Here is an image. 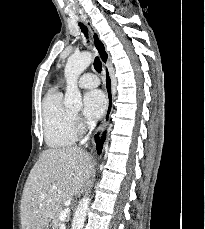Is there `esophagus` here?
I'll return each mask as SVG.
<instances>
[{
    "instance_id": "obj_1",
    "label": "esophagus",
    "mask_w": 205,
    "mask_h": 229,
    "mask_svg": "<svg viewBox=\"0 0 205 229\" xmlns=\"http://www.w3.org/2000/svg\"><path fill=\"white\" fill-rule=\"evenodd\" d=\"M86 24L89 27V30L92 35L94 47L100 57V60L104 68L105 89H106V94H107V107H106V112H105L102 124L99 128V131H103L110 121V116L113 110V86H112L111 71L109 67L110 56H109L108 51L106 50V46L104 42L99 37L92 23L86 19Z\"/></svg>"
}]
</instances>
